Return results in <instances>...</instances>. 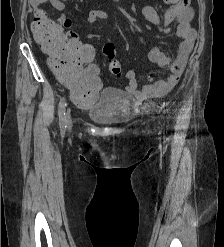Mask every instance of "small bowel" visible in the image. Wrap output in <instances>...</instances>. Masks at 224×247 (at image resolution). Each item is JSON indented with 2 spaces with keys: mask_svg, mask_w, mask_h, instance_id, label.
<instances>
[{
  "mask_svg": "<svg viewBox=\"0 0 224 247\" xmlns=\"http://www.w3.org/2000/svg\"><path fill=\"white\" fill-rule=\"evenodd\" d=\"M65 1L67 0H30L31 5L35 9V14L42 11L40 10L42 5L50 4L54 10L60 13L58 25L67 30V37L72 40L80 41L79 36L73 30L71 21L67 19L63 13ZM163 1L170 5L169 9L165 12L163 19H161L156 10L149 5L142 7L141 14L146 21L150 22L164 33L170 34L174 32L175 35L181 38L182 41L179 45L178 53L174 60L165 55L157 47L150 48L144 54L145 58L149 61L157 63L161 67L170 70V74L165 79L147 84L141 89H138L135 72L133 70L126 71V91L138 100L161 97L173 89L184 70L196 39V32L191 27V21L194 14L189 5L190 0ZM98 19L112 20V17L102 10H92L87 15V21L89 23H94Z\"/></svg>",
  "mask_w": 224,
  "mask_h": 247,
  "instance_id": "1",
  "label": "small bowel"
}]
</instances>
